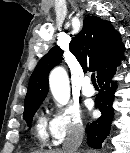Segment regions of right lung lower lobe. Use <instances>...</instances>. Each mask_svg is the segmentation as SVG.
I'll list each match as a JSON object with an SVG mask.
<instances>
[{
  "label": "right lung lower lobe",
  "instance_id": "1",
  "mask_svg": "<svg viewBox=\"0 0 130 153\" xmlns=\"http://www.w3.org/2000/svg\"><path fill=\"white\" fill-rule=\"evenodd\" d=\"M120 60L98 77L101 90L96 97V107L102 115L98 120L86 126L88 145L92 148H100L110 131V122L113 118L112 103L117 88L116 82H113L111 78L115 74L116 66L120 64Z\"/></svg>",
  "mask_w": 130,
  "mask_h": 153
}]
</instances>
